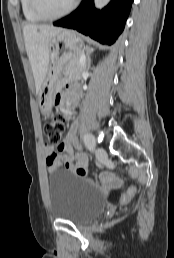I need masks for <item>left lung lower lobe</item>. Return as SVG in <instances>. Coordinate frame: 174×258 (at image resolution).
Listing matches in <instances>:
<instances>
[{
	"mask_svg": "<svg viewBox=\"0 0 174 258\" xmlns=\"http://www.w3.org/2000/svg\"><path fill=\"white\" fill-rule=\"evenodd\" d=\"M133 0H111L101 11L94 0H82L67 17L54 22L55 26L75 29L102 44H113L124 29Z\"/></svg>",
	"mask_w": 174,
	"mask_h": 258,
	"instance_id": "1",
	"label": "left lung lower lobe"
}]
</instances>
